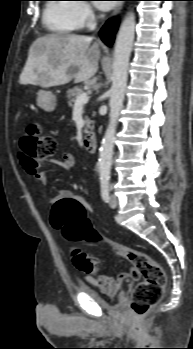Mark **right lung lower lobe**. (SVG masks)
Segmentation results:
<instances>
[{"instance_id":"obj_1","label":"right lung lower lobe","mask_w":193,"mask_h":349,"mask_svg":"<svg viewBox=\"0 0 193 349\" xmlns=\"http://www.w3.org/2000/svg\"><path fill=\"white\" fill-rule=\"evenodd\" d=\"M118 26L117 20H109L101 29L100 37L107 44L111 45L114 40V34Z\"/></svg>"}]
</instances>
